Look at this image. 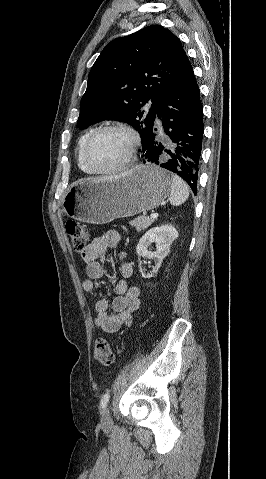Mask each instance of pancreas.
I'll list each match as a JSON object with an SVG mask.
<instances>
[{"label":"pancreas","mask_w":266,"mask_h":479,"mask_svg":"<svg viewBox=\"0 0 266 479\" xmlns=\"http://www.w3.org/2000/svg\"><path fill=\"white\" fill-rule=\"evenodd\" d=\"M155 219L148 218L146 216H138L134 220H131L129 224L134 226L138 232H141L152 225Z\"/></svg>","instance_id":"1"}]
</instances>
